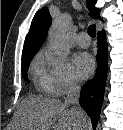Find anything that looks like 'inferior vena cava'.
<instances>
[{"label":"inferior vena cava","instance_id":"inferior-vena-cava-1","mask_svg":"<svg viewBox=\"0 0 123 130\" xmlns=\"http://www.w3.org/2000/svg\"><path fill=\"white\" fill-rule=\"evenodd\" d=\"M79 97H80V86L74 80H70L68 84L67 95L65 98L66 105H75L74 110L78 111L79 107Z\"/></svg>","mask_w":123,"mask_h":130}]
</instances>
